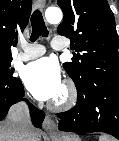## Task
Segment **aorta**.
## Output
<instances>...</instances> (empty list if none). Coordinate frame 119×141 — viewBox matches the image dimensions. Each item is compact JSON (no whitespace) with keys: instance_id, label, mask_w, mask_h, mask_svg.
<instances>
[{"instance_id":"1","label":"aorta","mask_w":119,"mask_h":141,"mask_svg":"<svg viewBox=\"0 0 119 141\" xmlns=\"http://www.w3.org/2000/svg\"><path fill=\"white\" fill-rule=\"evenodd\" d=\"M46 20L51 24H57L62 20V11L59 8H48L45 12Z\"/></svg>"}]
</instances>
